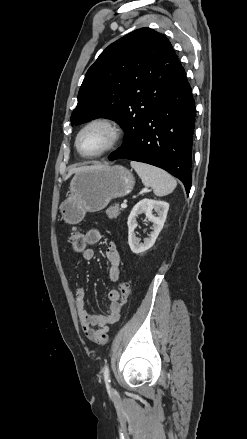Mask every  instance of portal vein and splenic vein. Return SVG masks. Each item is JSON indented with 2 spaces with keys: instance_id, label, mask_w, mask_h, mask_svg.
<instances>
[{
  "instance_id": "1",
  "label": "portal vein and splenic vein",
  "mask_w": 247,
  "mask_h": 439,
  "mask_svg": "<svg viewBox=\"0 0 247 439\" xmlns=\"http://www.w3.org/2000/svg\"><path fill=\"white\" fill-rule=\"evenodd\" d=\"M121 207H122V208H126V207H127L126 202L121 203Z\"/></svg>"
}]
</instances>
